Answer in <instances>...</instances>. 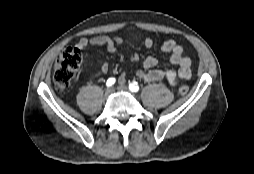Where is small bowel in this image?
Segmentation results:
<instances>
[{
	"instance_id": "c3829d8e",
	"label": "small bowel",
	"mask_w": 254,
	"mask_h": 174,
	"mask_svg": "<svg viewBox=\"0 0 254 174\" xmlns=\"http://www.w3.org/2000/svg\"><path fill=\"white\" fill-rule=\"evenodd\" d=\"M137 39L136 35L131 36L130 40ZM146 48H151L154 41L151 37H146L142 41ZM123 45V39L114 36H95L92 38H81L77 47L80 49L87 48L88 46L101 47L109 53H116L119 48ZM161 50L169 54V61L171 64L178 66V69H157L156 66L158 61L152 56L141 58L138 53L131 54L130 58L132 61L141 62L143 69H139L136 75L139 79L145 82H157L165 80L171 86H176L182 80H188L191 78V59L184 55L183 47L178 44L175 40H167L161 45ZM100 67V74H106L109 71V64L106 61L98 60ZM97 75L92 76L94 79ZM124 76L120 77L119 81L124 82Z\"/></svg>"
}]
</instances>
